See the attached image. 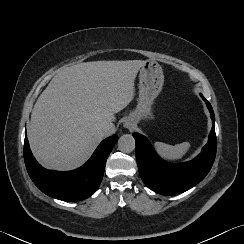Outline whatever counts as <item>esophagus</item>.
I'll return each instance as SVG.
<instances>
[{
  "label": "esophagus",
  "mask_w": 244,
  "mask_h": 244,
  "mask_svg": "<svg viewBox=\"0 0 244 244\" xmlns=\"http://www.w3.org/2000/svg\"><path fill=\"white\" fill-rule=\"evenodd\" d=\"M123 126L125 127V128H127V129H134L135 127H136V124H135V122L133 121V119H126L125 121H124V124H123Z\"/></svg>",
  "instance_id": "1"
}]
</instances>
